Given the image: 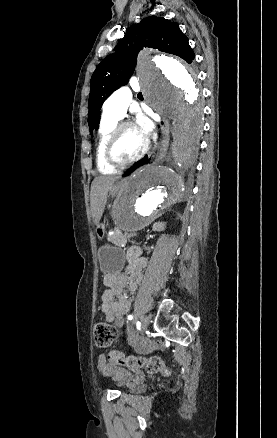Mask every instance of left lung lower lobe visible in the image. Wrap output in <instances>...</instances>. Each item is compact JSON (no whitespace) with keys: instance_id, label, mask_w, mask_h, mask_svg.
<instances>
[{"instance_id":"0a47b994","label":"left lung lower lobe","mask_w":277,"mask_h":438,"mask_svg":"<svg viewBox=\"0 0 277 438\" xmlns=\"http://www.w3.org/2000/svg\"><path fill=\"white\" fill-rule=\"evenodd\" d=\"M148 159L147 157H144L142 160L136 162L133 164V166L131 168H129L126 173L123 176H128L129 174H131L136 168L144 165L145 163H147Z\"/></svg>"}]
</instances>
